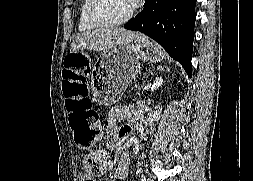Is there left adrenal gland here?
<instances>
[{
  "instance_id": "left-adrenal-gland-1",
  "label": "left adrenal gland",
  "mask_w": 253,
  "mask_h": 181,
  "mask_svg": "<svg viewBox=\"0 0 253 181\" xmlns=\"http://www.w3.org/2000/svg\"><path fill=\"white\" fill-rule=\"evenodd\" d=\"M166 71L170 72L169 68H166Z\"/></svg>"
}]
</instances>
